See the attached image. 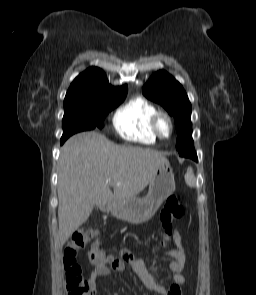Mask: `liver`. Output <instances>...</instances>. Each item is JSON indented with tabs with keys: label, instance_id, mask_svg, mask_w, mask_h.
Here are the masks:
<instances>
[{
	"label": "liver",
	"instance_id": "liver-1",
	"mask_svg": "<svg viewBox=\"0 0 256 295\" xmlns=\"http://www.w3.org/2000/svg\"><path fill=\"white\" fill-rule=\"evenodd\" d=\"M166 162L158 151L117 145L97 132L69 138L58 162L60 243L87 221L95 205L135 198Z\"/></svg>",
	"mask_w": 256,
	"mask_h": 295
}]
</instances>
